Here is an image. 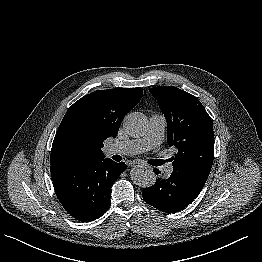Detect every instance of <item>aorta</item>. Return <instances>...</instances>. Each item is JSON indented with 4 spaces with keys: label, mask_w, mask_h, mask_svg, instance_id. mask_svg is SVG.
<instances>
[{
    "label": "aorta",
    "mask_w": 262,
    "mask_h": 262,
    "mask_svg": "<svg viewBox=\"0 0 262 262\" xmlns=\"http://www.w3.org/2000/svg\"><path fill=\"white\" fill-rule=\"evenodd\" d=\"M123 127L131 137L143 136L147 128V118L140 112L130 113L125 116ZM130 175L134 184L143 188L151 187L156 182V174L148 168H134Z\"/></svg>",
    "instance_id": "1"
}]
</instances>
